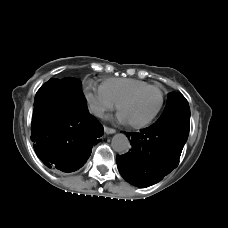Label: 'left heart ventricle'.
<instances>
[{
	"mask_svg": "<svg viewBox=\"0 0 228 228\" xmlns=\"http://www.w3.org/2000/svg\"><path fill=\"white\" fill-rule=\"evenodd\" d=\"M160 95L155 90L144 92L122 106V114L129 122H141L147 119L157 108Z\"/></svg>",
	"mask_w": 228,
	"mask_h": 228,
	"instance_id": "obj_1",
	"label": "left heart ventricle"
}]
</instances>
